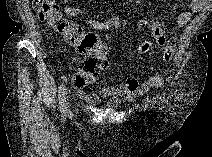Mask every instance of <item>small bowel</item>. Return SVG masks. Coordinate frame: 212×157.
<instances>
[{
	"label": "small bowel",
	"mask_w": 212,
	"mask_h": 157,
	"mask_svg": "<svg viewBox=\"0 0 212 157\" xmlns=\"http://www.w3.org/2000/svg\"><path fill=\"white\" fill-rule=\"evenodd\" d=\"M202 6L200 0H191L190 9L182 10L176 19V24L179 27L186 26L191 20L192 14L197 12ZM64 12L68 17H83L86 23L93 29L99 31L114 32L121 28L122 23L118 18H110L104 21H98L94 19L85 9L79 6H72L66 4L64 6ZM139 26L143 29L151 31L153 36L158 39L162 37L160 44L164 45L163 59L169 61L174 54L175 39L174 37L166 38L164 31L160 27L159 23L153 20L143 19L139 22ZM54 50H61L63 46L53 45ZM76 60V58L74 59ZM166 74H154L149 76L143 83H139L136 76H127L123 81L119 82L116 86L106 84L102 89L95 94H84L79 90V94L86 99L90 104H96L103 98L115 97V96H128L136 97L144 94L150 88L162 87L165 83ZM80 89V88H79Z\"/></svg>",
	"instance_id": "c3829d8e"
}]
</instances>
